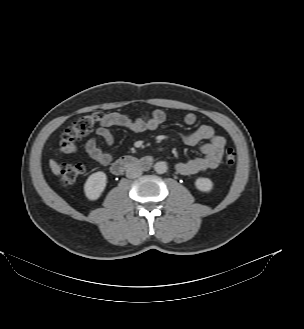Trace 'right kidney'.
I'll return each mask as SVG.
<instances>
[{"label": "right kidney", "mask_w": 304, "mask_h": 329, "mask_svg": "<svg viewBox=\"0 0 304 329\" xmlns=\"http://www.w3.org/2000/svg\"><path fill=\"white\" fill-rule=\"evenodd\" d=\"M107 183V176L104 172L98 171L91 174L84 185L85 195L89 200L98 199L104 191Z\"/></svg>", "instance_id": "1"}]
</instances>
